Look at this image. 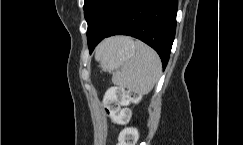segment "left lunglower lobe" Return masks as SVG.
I'll return each mask as SVG.
<instances>
[{
  "label": "left lung lower lobe",
  "instance_id": "left-lung-lower-lobe-1",
  "mask_svg": "<svg viewBox=\"0 0 243 145\" xmlns=\"http://www.w3.org/2000/svg\"><path fill=\"white\" fill-rule=\"evenodd\" d=\"M177 6L178 0H127L108 27L96 22L88 25L90 53L105 37L129 35L156 50L165 69L175 37Z\"/></svg>",
  "mask_w": 243,
  "mask_h": 145
}]
</instances>
